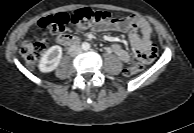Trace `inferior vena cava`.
<instances>
[{
	"mask_svg": "<svg viewBox=\"0 0 194 133\" xmlns=\"http://www.w3.org/2000/svg\"><path fill=\"white\" fill-rule=\"evenodd\" d=\"M82 52V48L78 45H72L68 49V54L72 57L77 56Z\"/></svg>",
	"mask_w": 194,
	"mask_h": 133,
	"instance_id": "602c4592",
	"label": "inferior vena cava"
}]
</instances>
